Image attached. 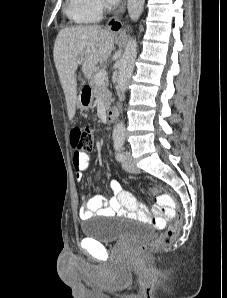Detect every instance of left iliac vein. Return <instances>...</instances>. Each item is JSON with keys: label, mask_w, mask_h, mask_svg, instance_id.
I'll return each instance as SVG.
<instances>
[{"label": "left iliac vein", "mask_w": 227, "mask_h": 298, "mask_svg": "<svg viewBox=\"0 0 227 298\" xmlns=\"http://www.w3.org/2000/svg\"><path fill=\"white\" fill-rule=\"evenodd\" d=\"M123 168L131 173H137L139 169L136 167V165L133 162V159L130 154L126 155L125 160L122 163Z\"/></svg>", "instance_id": "1"}]
</instances>
